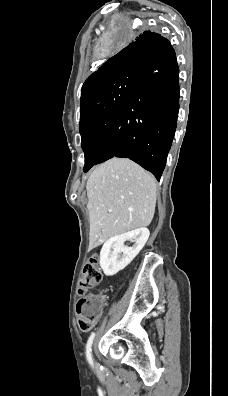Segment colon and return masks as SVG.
Segmentation results:
<instances>
[{
    "mask_svg": "<svg viewBox=\"0 0 228 396\" xmlns=\"http://www.w3.org/2000/svg\"><path fill=\"white\" fill-rule=\"evenodd\" d=\"M102 279L98 255H93L83 267L79 280V293L85 294L96 286ZM105 299L102 295H84L77 303L79 327L83 331L91 329L98 320L104 307Z\"/></svg>",
    "mask_w": 228,
    "mask_h": 396,
    "instance_id": "5ec220e1",
    "label": "colon"
}]
</instances>
